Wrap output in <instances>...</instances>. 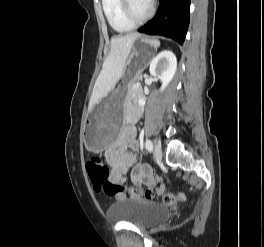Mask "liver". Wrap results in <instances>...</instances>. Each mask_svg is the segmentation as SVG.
Returning a JSON list of instances; mask_svg holds the SVG:
<instances>
[{"instance_id":"6515ba94","label":"liver","mask_w":264,"mask_h":247,"mask_svg":"<svg viewBox=\"0 0 264 247\" xmlns=\"http://www.w3.org/2000/svg\"><path fill=\"white\" fill-rule=\"evenodd\" d=\"M138 37H140L138 33H129L125 36L113 37L111 39V49L95 82L89 101V111H91L102 98L107 96L123 76L128 55L134 41Z\"/></svg>"}]
</instances>
